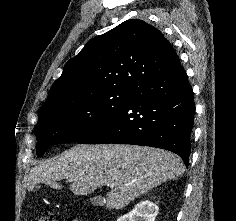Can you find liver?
Returning <instances> with one entry per match:
<instances>
[{"label":"liver","mask_w":236,"mask_h":221,"mask_svg":"<svg viewBox=\"0 0 236 221\" xmlns=\"http://www.w3.org/2000/svg\"><path fill=\"white\" fill-rule=\"evenodd\" d=\"M184 173L181 159L159 148L120 144L79 145L33 167L28 187L38 183L61 188L67 179L75 195H87L104 185L107 209H122L150 189Z\"/></svg>","instance_id":"1"}]
</instances>
